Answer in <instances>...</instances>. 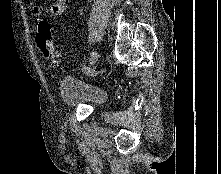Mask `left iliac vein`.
Listing matches in <instances>:
<instances>
[{"instance_id":"1","label":"left iliac vein","mask_w":221,"mask_h":174,"mask_svg":"<svg viewBox=\"0 0 221 174\" xmlns=\"http://www.w3.org/2000/svg\"><path fill=\"white\" fill-rule=\"evenodd\" d=\"M98 57H99L98 52L96 50H93L89 58L90 64L94 65L97 62Z\"/></svg>"}]
</instances>
